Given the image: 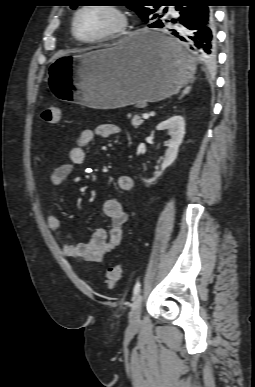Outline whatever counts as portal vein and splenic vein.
Instances as JSON below:
<instances>
[{
  "label": "portal vein and splenic vein",
  "mask_w": 255,
  "mask_h": 387,
  "mask_svg": "<svg viewBox=\"0 0 255 387\" xmlns=\"http://www.w3.org/2000/svg\"><path fill=\"white\" fill-rule=\"evenodd\" d=\"M149 116H150V115H149L148 113H144V114H143V119H148Z\"/></svg>",
  "instance_id": "18ae733b"
}]
</instances>
